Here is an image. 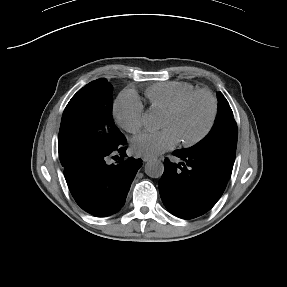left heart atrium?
Listing matches in <instances>:
<instances>
[{
	"mask_svg": "<svg viewBox=\"0 0 287 287\" xmlns=\"http://www.w3.org/2000/svg\"><path fill=\"white\" fill-rule=\"evenodd\" d=\"M179 142L172 128H164L154 133H143L132 140L133 151L142 156L153 157L174 148Z\"/></svg>",
	"mask_w": 287,
	"mask_h": 287,
	"instance_id": "left-heart-atrium-1",
	"label": "left heart atrium"
}]
</instances>
